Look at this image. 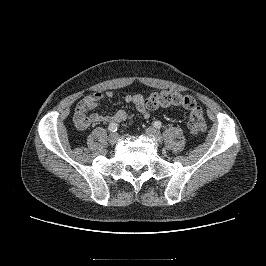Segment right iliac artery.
Segmentation results:
<instances>
[{"mask_svg":"<svg viewBox=\"0 0 266 266\" xmlns=\"http://www.w3.org/2000/svg\"><path fill=\"white\" fill-rule=\"evenodd\" d=\"M108 130L110 132H116L118 130V124L116 123H111L109 126H108Z\"/></svg>","mask_w":266,"mask_h":266,"instance_id":"obj_1","label":"right iliac artery"}]
</instances>
